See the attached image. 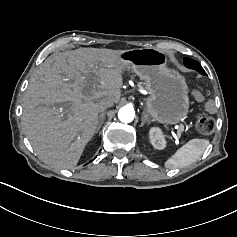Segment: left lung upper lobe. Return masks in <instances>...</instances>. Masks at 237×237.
Masks as SVG:
<instances>
[{
	"label": "left lung upper lobe",
	"mask_w": 237,
	"mask_h": 237,
	"mask_svg": "<svg viewBox=\"0 0 237 237\" xmlns=\"http://www.w3.org/2000/svg\"><path fill=\"white\" fill-rule=\"evenodd\" d=\"M184 64H185L186 67L196 70L201 75H206L207 76L206 72L204 71L202 66L197 61L192 60L190 58H184Z\"/></svg>",
	"instance_id": "1"
}]
</instances>
